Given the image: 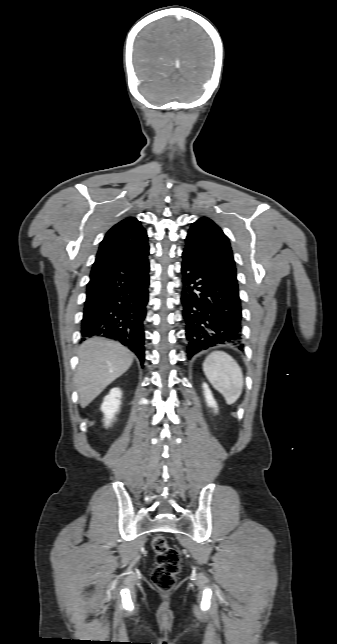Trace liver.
Here are the masks:
<instances>
[{"label": "liver", "mask_w": 337, "mask_h": 644, "mask_svg": "<svg viewBox=\"0 0 337 644\" xmlns=\"http://www.w3.org/2000/svg\"><path fill=\"white\" fill-rule=\"evenodd\" d=\"M75 385L82 408L88 406L110 383L132 365L133 353L118 342L94 337L78 350Z\"/></svg>", "instance_id": "1"}]
</instances>
